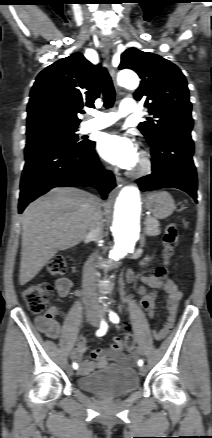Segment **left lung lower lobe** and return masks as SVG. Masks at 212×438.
I'll return each mask as SVG.
<instances>
[{
  "mask_svg": "<svg viewBox=\"0 0 212 438\" xmlns=\"http://www.w3.org/2000/svg\"><path fill=\"white\" fill-rule=\"evenodd\" d=\"M149 145L153 157L152 173L136 181L140 190L177 188L197 202V173L192 159L194 143L191 135H165Z\"/></svg>",
  "mask_w": 212,
  "mask_h": 438,
  "instance_id": "0a47b994",
  "label": "left lung lower lobe"
}]
</instances>
